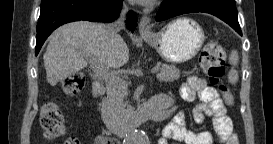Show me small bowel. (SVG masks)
<instances>
[{
    "label": "small bowel",
    "mask_w": 273,
    "mask_h": 144,
    "mask_svg": "<svg viewBox=\"0 0 273 144\" xmlns=\"http://www.w3.org/2000/svg\"><path fill=\"white\" fill-rule=\"evenodd\" d=\"M180 98L187 102L198 101L193 110V118L196 123L202 124L207 118H210L214 125L215 134L221 142L237 144V137L233 132L223 100L218 91L208 85L204 79L190 75L181 88ZM167 114L169 121L162 129L158 144H167L170 140L184 144H212L214 142V134L210 131L194 132L187 129L185 113L178 110L172 100H170ZM68 143L76 142L69 141ZM109 143L115 142L103 136L96 139V144Z\"/></svg>",
    "instance_id": "obj_1"
}]
</instances>
